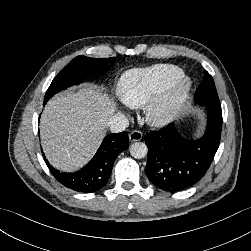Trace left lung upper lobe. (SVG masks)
<instances>
[{
  "label": "left lung upper lobe",
  "instance_id": "1",
  "mask_svg": "<svg viewBox=\"0 0 251 251\" xmlns=\"http://www.w3.org/2000/svg\"><path fill=\"white\" fill-rule=\"evenodd\" d=\"M194 100L197 104L221 107L215 83L213 81V78L207 71L205 72L202 83L196 90Z\"/></svg>",
  "mask_w": 251,
  "mask_h": 251
}]
</instances>
